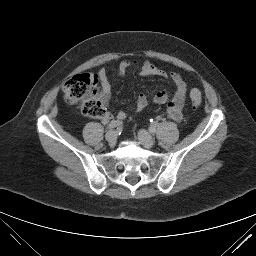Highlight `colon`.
Instances as JSON below:
<instances>
[{
	"label": "colon",
	"instance_id": "5ec220e1",
	"mask_svg": "<svg viewBox=\"0 0 256 256\" xmlns=\"http://www.w3.org/2000/svg\"><path fill=\"white\" fill-rule=\"evenodd\" d=\"M65 101L70 105H80L83 115L102 118L106 108L98 100V77L92 73L77 74L69 78L62 87ZM190 99L193 107H198L202 96L198 89H192Z\"/></svg>",
	"mask_w": 256,
	"mask_h": 256
}]
</instances>
